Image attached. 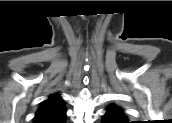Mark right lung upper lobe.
Returning <instances> with one entry per match:
<instances>
[{
    "mask_svg": "<svg viewBox=\"0 0 172 123\" xmlns=\"http://www.w3.org/2000/svg\"><path fill=\"white\" fill-rule=\"evenodd\" d=\"M66 110L59 94L45 100L34 117V123H64Z\"/></svg>",
    "mask_w": 172,
    "mask_h": 123,
    "instance_id": "right-lung-upper-lobe-1",
    "label": "right lung upper lobe"
}]
</instances>
